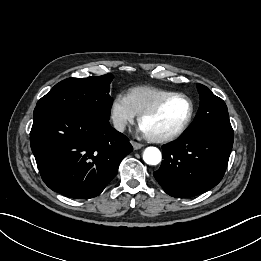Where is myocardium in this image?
<instances>
[{"label":"myocardium","mask_w":261,"mask_h":261,"mask_svg":"<svg viewBox=\"0 0 261 261\" xmlns=\"http://www.w3.org/2000/svg\"><path fill=\"white\" fill-rule=\"evenodd\" d=\"M172 98H181L188 102V105H189L188 115H187L186 119L184 120V122L176 130H174L168 134L150 135V134L146 133V137L152 142L165 143V142L173 141V140L177 139L178 137H180L187 130V128L189 127V125L192 122L195 108H194V103L191 100V98L182 93H169V94L163 96L162 98H160L157 102H155L153 105H151L147 109L143 110L139 114V116H138L139 125L142 127V122L146 117L156 114L162 108V106L168 100H170Z\"/></svg>","instance_id":"1"}]
</instances>
